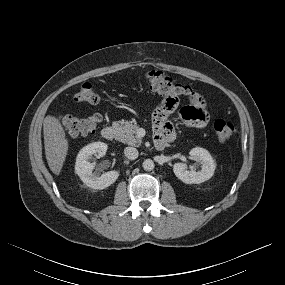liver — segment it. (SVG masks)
<instances>
[{
	"label": "liver",
	"mask_w": 285,
	"mask_h": 285,
	"mask_svg": "<svg viewBox=\"0 0 285 285\" xmlns=\"http://www.w3.org/2000/svg\"><path fill=\"white\" fill-rule=\"evenodd\" d=\"M45 155L50 170L59 175L68 153V140L60 121L51 115L43 121Z\"/></svg>",
	"instance_id": "liver-1"
}]
</instances>
